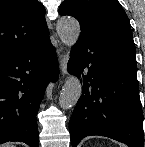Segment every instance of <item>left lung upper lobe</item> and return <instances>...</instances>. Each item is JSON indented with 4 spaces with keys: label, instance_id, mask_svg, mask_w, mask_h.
Returning a JSON list of instances; mask_svg holds the SVG:
<instances>
[{
    "label": "left lung upper lobe",
    "instance_id": "obj_1",
    "mask_svg": "<svg viewBox=\"0 0 145 147\" xmlns=\"http://www.w3.org/2000/svg\"><path fill=\"white\" fill-rule=\"evenodd\" d=\"M59 13L75 17L81 33L133 38L129 19L117 0H64Z\"/></svg>",
    "mask_w": 145,
    "mask_h": 147
}]
</instances>
